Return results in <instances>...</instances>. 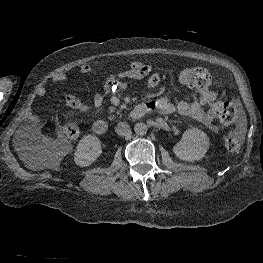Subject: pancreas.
Wrapping results in <instances>:
<instances>
[{"mask_svg": "<svg viewBox=\"0 0 263 263\" xmlns=\"http://www.w3.org/2000/svg\"><path fill=\"white\" fill-rule=\"evenodd\" d=\"M109 111H110V112H113V111H114V107H110V108H109Z\"/></svg>", "mask_w": 263, "mask_h": 263, "instance_id": "pancreas-1", "label": "pancreas"}]
</instances>
